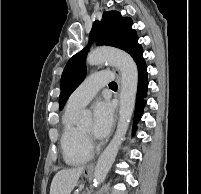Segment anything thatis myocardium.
I'll use <instances>...</instances> for the list:
<instances>
[{"instance_id": "f54148a6", "label": "myocardium", "mask_w": 201, "mask_h": 194, "mask_svg": "<svg viewBox=\"0 0 201 194\" xmlns=\"http://www.w3.org/2000/svg\"><path fill=\"white\" fill-rule=\"evenodd\" d=\"M80 130H81V133L83 134V136L85 137V139H88L89 133L83 131L81 128H80Z\"/></svg>"}]
</instances>
